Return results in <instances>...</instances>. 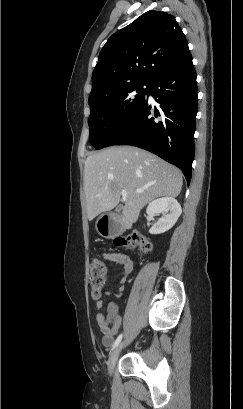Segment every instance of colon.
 Wrapping results in <instances>:
<instances>
[{"label": "colon", "instance_id": "obj_1", "mask_svg": "<svg viewBox=\"0 0 243 409\" xmlns=\"http://www.w3.org/2000/svg\"><path fill=\"white\" fill-rule=\"evenodd\" d=\"M113 244L117 248H133L138 246L142 252H148L152 248V243L145 237L138 234H130L125 237H117L113 240ZM105 277V265L99 260L92 261L89 267L88 281L91 287V294L93 298H101L102 288L105 283Z\"/></svg>", "mask_w": 243, "mask_h": 409}]
</instances>
